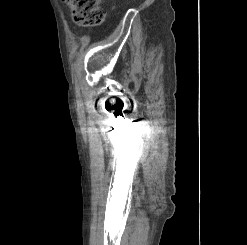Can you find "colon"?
Listing matches in <instances>:
<instances>
[{
    "label": "colon",
    "mask_w": 247,
    "mask_h": 245,
    "mask_svg": "<svg viewBox=\"0 0 247 245\" xmlns=\"http://www.w3.org/2000/svg\"><path fill=\"white\" fill-rule=\"evenodd\" d=\"M69 6L73 20L82 26L101 24L106 16L105 10L100 6V0H64Z\"/></svg>",
    "instance_id": "obj_1"
}]
</instances>
